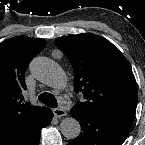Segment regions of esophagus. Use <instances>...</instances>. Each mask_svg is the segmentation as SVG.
<instances>
[{
  "instance_id": "obj_1",
  "label": "esophagus",
  "mask_w": 145,
  "mask_h": 145,
  "mask_svg": "<svg viewBox=\"0 0 145 145\" xmlns=\"http://www.w3.org/2000/svg\"><path fill=\"white\" fill-rule=\"evenodd\" d=\"M53 113L57 118L66 116V111L63 108H55L53 109Z\"/></svg>"
}]
</instances>
